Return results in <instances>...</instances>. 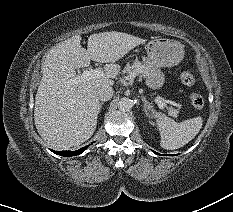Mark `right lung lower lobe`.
<instances>
[{
  "instance_id": "1",
  "label": "right lung lower lobe",
  "mask_w": 233,
  "mask_h": 212,
  "mask_svg": "<svg viewBox=\"0 0 233 212\" xmlns=\"http://www.w3.org/2000/svg\"><path fill=\"white\" fill-rule=\"evenodd\" d=\"M86 149H87V146L83 147V148H80V149H78L76 151H53V150H51V151H53L55 154L65 156V157H69V156L79 155Z\"/></svg>"
}]
</instances>
